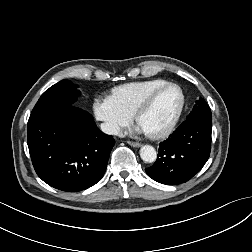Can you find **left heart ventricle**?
Here are the masks:
<instances>
[{
  "mask_svg": "<svg viewBox=\"0 0 252 252\" xmlns=\"http://www.w3.org/2000/svg\"><path fill=\"white\" fill-rule=\"evenodd\" d=\"M181 103V93L176 87L162 90L152 105L141 116L139 123L148 132H157L167 127Z\"/></svg>",
  "mask_w": 252,
  "mask_h": 252,
  "instance_id": "obj_1",
  "label": "left heart ventricle"
}]
</instances>
